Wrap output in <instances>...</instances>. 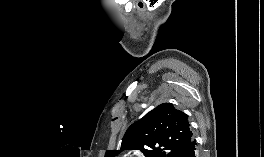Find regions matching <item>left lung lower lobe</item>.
I'll list each match as a JSON object with an SVG mask.
<instances>
[{"label":"left lung lower lobe","mask_w":264,"mask_h":157,"mask_svg":"<svg viewBox=\"0 0 264 157\" xmlns=\"http://www.w3.org/2000/svg\"><path fill=\"white\" fill-rule=\"evenodd\" d=\"M197 143L196 141L193 139L189 145L187 146L186 150H185V155L184 157H199L198 156V152H197Z\"/></svg>","instance_id":"obj_1"}]
</instances>
